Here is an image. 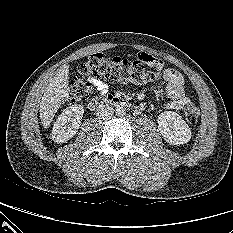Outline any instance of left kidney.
<instances>
[{
    "label": "left kidney",
    "mask_w": 233,
    "mask_h": 233,
    "mask_svg": "<svg viewBox=\"0 0 233 233\" xmlns=\"http://www.w3.org/2000/svg\"><path fill=\"white\" fill-rule=\"evenodd\" d=\"M158 128L165 141L172 145H181L191 139V130L182 116L173 111L162 112L157 119Z\"/></svg>",
    "instance_id": "1"
}]
</instances>
